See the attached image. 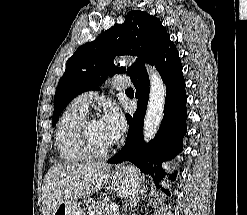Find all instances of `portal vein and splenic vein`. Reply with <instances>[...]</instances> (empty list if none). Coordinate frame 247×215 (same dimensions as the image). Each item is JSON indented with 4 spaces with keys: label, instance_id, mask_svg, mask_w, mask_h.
<instances>
[{
    "label": "portal vein and splenic vein",
    "instance_id": "18ae733b",
    "mask_svg": "<svg viewBox=\"0 0 247 215\" xmlns=\"http://www.w3.org/2000/svg\"><path fill=\"white\" fill-rule=\"evenodd\" d=\"M111 207H113V210H115L116 212H118V211H119V209H118V207H117V206H112V205H111Z\"/></svg>",
    "mask_w": 247,
    "mask_h": 215
}]
</instances>
